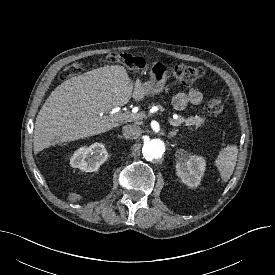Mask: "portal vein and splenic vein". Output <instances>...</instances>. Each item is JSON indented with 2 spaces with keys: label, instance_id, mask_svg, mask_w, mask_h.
Returning a JSON list of instances; mask_svg holds the SVG:
<instances>
[{
  "label": "portal vein and splenic vein",
  "instance_id": "18ae733b",
  "mask_svg": "<svg viewBox=\"0 0 275 275\" xmlns=\"http://www.w3.org/2000/svg\"><path fill=\"white\" fill-rule=\"evenodd\" d=\"M109 117L116 122H123V121H131V120H135L137 118H139V116H137L134 113L131 114H126V113H122L119 112L116 109H113L112 112L110 113ZM170 124L173 126H176L177 124H175L173 121L170 120Z\"/></svg>",
  "mask_w": 275,
  "mask_h": 275
}]
</instances>
